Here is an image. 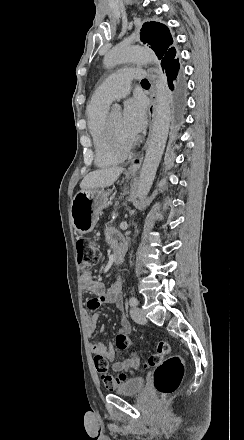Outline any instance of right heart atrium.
Instances as JSON below:
<instances>
[{"mask_svg":"<svg viewBox=\"0 0 244 440\" xmlns=\"http://www.w3.org/2000/svg\"><path fill=\"white\" fill-rule=\"evenodd\" d=\"M128 139H133V136H129Z\"/></svg>","mask_w":244,"mask_h":440,"instance_id":"d8ad5b80","label":"right heart atrium"}]
</instances>
